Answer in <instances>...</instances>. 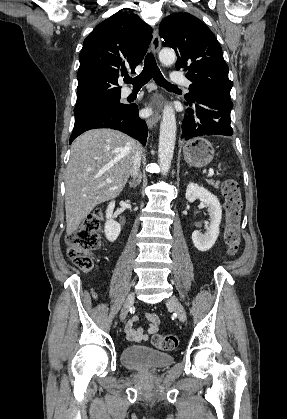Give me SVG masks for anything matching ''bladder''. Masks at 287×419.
I'll return each instance as SVG.
<instances>
[{
	"instance_id": "bladder-1",
	"label": "bladder",
	"mask_w": 287,
	"mask_h": 419,
	"mask_svg": "<svg viewBox=\"0 0 287 419\" xmlns=\"http://www.w3.org/2000/svg\"><path fill=\"white\" fill-rule=\"evenodd\" d=\"M173 361V356L144 346H128L121 353V362L135 370H159Z\"/></svg>"
}]
</instances>
